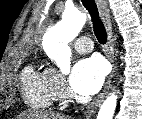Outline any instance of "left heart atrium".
<instances>
[{"instance_id": "39dd6f15", "label": "left heart atrium", "mask_w": 142, "mask_h": 119, "mask_svg": "<svg viewBox=\"0 0 142 119\" xmlns=\"http://www.w3.org/2000/svg\"><path fill=\"white\" fill-rule=\"evenodd\" d=\"M105 75V64L100 58H85L74 66L70 86L80 95H93L101 88Z\"/></svg>"}]
</instances>
